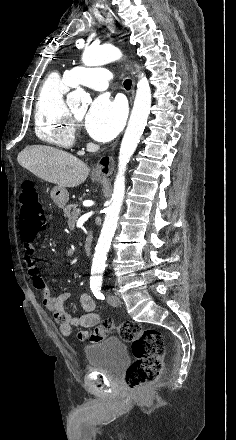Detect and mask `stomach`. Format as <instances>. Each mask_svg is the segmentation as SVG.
<instances>
[{
    "label": "stomach",
    "instance_id": "obj_1",
    "mask_svg": "<svg viewBox=\"0 0 236 440\" xmlns=\"http://www.w3.org/2000/svg\"><path fill=\"white\" fill-rule=\"evenodd\" d=\"M94 179L98 182H103L105 177L95 176ZM51 198L60 209H63L69 200V193L65 188L57 186L52 189Z\"/></svg>",
    "mask_w": 236,
    "mask_h": 440
}]
</instances>
